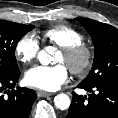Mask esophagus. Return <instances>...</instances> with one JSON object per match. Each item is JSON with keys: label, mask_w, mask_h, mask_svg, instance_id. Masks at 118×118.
Returning <instances> with one entry per match:
<instances>
[{"label": "esophagus", "mask_w": 118, "mask_h": 118, "mask_svg": "<svg viewBox=\"0 0 118 118\" xmlns=\"http://www.w3.org/2000/svg\"><path fill=\"white\" fill-rule=\"evenodd\" d=\"M37 95H38V97H48V96H52L53 93L45 92V91L39 90V91L37 92Z\"/></svg>", "instance_id": "obj_1"}]
</instances>
